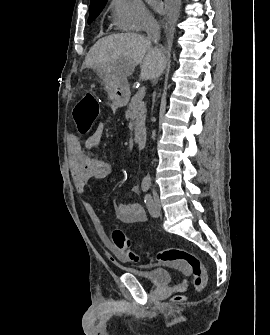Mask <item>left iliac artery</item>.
I'll return each instance as SVG.
<instances>
[{
    "label": "left iliac artery",
    "instance_id": "1",
    "mask_svg": "<svg viewBox=\"0 0 270 335\" xmlns=\"http://www.w3.org/2000/svg\"><path fill=\"white\" fill-rule=\"evenodd\" d=\"M144 199H145L144 201H145V204L148 208L149 213L153 216L154 213H155V206H154L151 195L146 194Z\"/></svg>",
    "mask_w": 270,
    "mask_h": 335
}]
</instances>
